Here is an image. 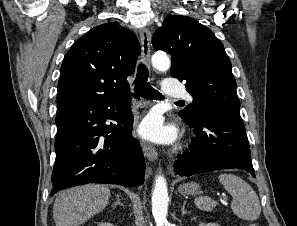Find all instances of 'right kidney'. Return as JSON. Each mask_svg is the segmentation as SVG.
I'll return each mask as SVG.
<instances>
[{
	"label": "right kidney",
	"instance_id": "obj_1",
	"mask_svg": "<svg viewBox=\"0 0 297 226\" xmlns=\"http://www.w3.org/2000/svg\"><path fill=\"white\" fill-rule=\"evenodd\" d=\"M98 226H114L111 223H100Z\"/></svg>",
	"mask_w": 297,
	"mask_h": 226
}]
</instances>
